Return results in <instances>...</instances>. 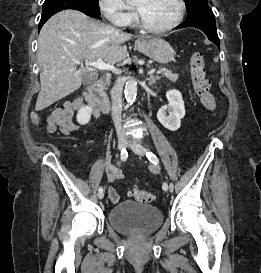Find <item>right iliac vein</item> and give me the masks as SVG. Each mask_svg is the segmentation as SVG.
<instances>
[{
    "label": "right iliac vein",
    "instance_id": "1",
    "mask_svg": "<svg viewBox=\"0 0 261 273\" xmlns=\"http://www.w3.org/2000/svg\"><path fill=\"white\" fill-rule=\"evenodd\" d=\"M125 145H126V140H125V138H124V137H119V138H118V145H117L118 150H119V151L123 150L124 147H125ZM103 197H104V192H99V193H98V198H99V199H103Z\"/></svg>",
    "mask_w": 261,
    "mask_h": 273
}]
</instances>
